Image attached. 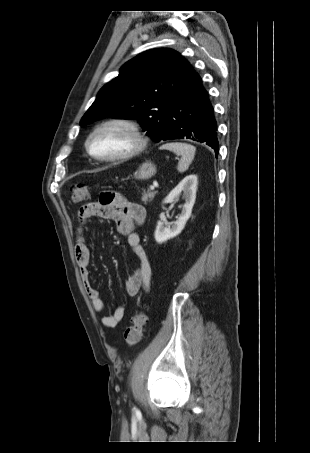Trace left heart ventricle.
<instances>
[{"mask_svg":"<svg viewBox=\"0 0 310 453\" xmlns=\"http://www.w3.org/2000/svg\"><path fill=\"white\" fill-rule=\"evenodd\" d=\"M133 144L131 135L124 128L110 127L96 134L90 146L97 155L112 156L131 149Z\"/></svg>","mask_w":310,"mask_h":453,"instance_id":"obj_1","label":"left heart ventricle"}]
</instances>
